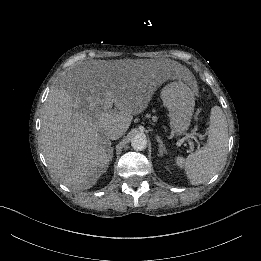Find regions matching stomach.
Returning a JSON list of instances; mask_svg holds the SVG:
<instances>
[{
    "label": "stomach",
    "mask_w": 261,
    "mask_h": 261,
    "mask_svg": "<svg viewBox=\"0 0 261 261\" xmlns=\"http://www.w3.org/2000/svg\"><path fill=\"white\" fill-rule=\"evenodd\" d=\"M161 99L169 110L171 128L178 135L185 132L194 111L195 91L184 82L175 81L162 89Z\"/></svg>",
    "instance_id": "1"
}]
</instances>
